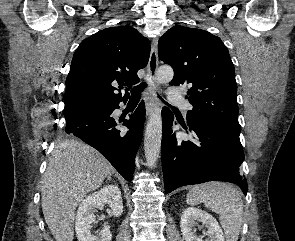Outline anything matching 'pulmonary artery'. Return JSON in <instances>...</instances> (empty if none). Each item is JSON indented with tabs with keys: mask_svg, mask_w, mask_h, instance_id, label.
I'll return each instance as SVG.
<instances>
[{
	"mask_svg": "<svg viewBox=\"0 0 295 241\" xmlns=\"http://www.w3.org/2000/svg\"><path fill=\"white\" fill-rule=\"evenodd\" d=\"M168 98L171 102L174 104H177L178 106L188 109L190 108L189 103L184 99L182 96L181 91L171 88L168 92Z\"/></svg>",
	"mask_w": 295,
	"mask_h": 241,
	"instance_id": "1",
	"label": "pulmonary artery"
}]
</instances>
